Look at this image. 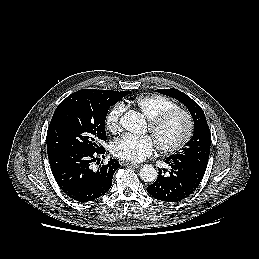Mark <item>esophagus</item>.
<instances>
[{
	"label": "esophagus",
	"mask_w": 259,
	"mask_h": 259,
	"mask_svg": "<svg viewBox=\"0 0 259 259\" xmlns=\"http://www.w3.org/2000/svg\"><path fill=\"white\" fill-rule=\"evenodd\" d=\"M123 164L134 168H140L142 166V164H136V163H130V162H123Z\"/></svg>",
	"instance_id": "esophagus-1"
}]
</instances>
